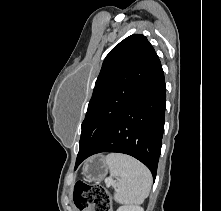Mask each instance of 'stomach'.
<instances>
[{
  "label": "stomach",
  "instance_id": "0dacf381",
  "mask_svg": "<svg viewBox=\"0 0 221 211\" xmlns=\"http://www.w3.org/2000/svg\"><path fill=\"white\" fill-rule=\"evenodd\" d=\"M102 156L89 158L82 168L83 176L90 182H100L106 176L108 167Z\"/></svg>",
  "mask_w": 221,
  "mask_h": 211
}]
</instances>
